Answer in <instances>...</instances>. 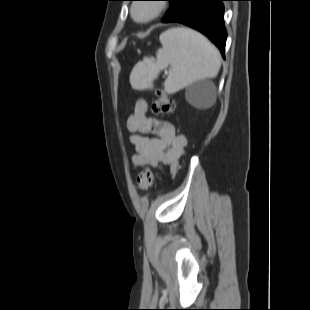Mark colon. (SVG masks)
Listing matches in <instances>:
<instances>
[{"mask_svg": "<svg viewBox=\"0 0 310 310\" xmlns=\"http://www.w3.org/2000/svg\"><path fill=\"white\" fill-rule=\"evenodd\" d=\"M174 110V101L170 96L163 92L158 91L156 98L152 102V111L157 114H168ZM155 174L150 166H145L139 173L136 179L138 189L145 191L153 186Z\"/></svg>", "mask_w": 310, "mask_h": 310, "instance_id": "5ec220e1", "label": "colon"}]
</instances>
